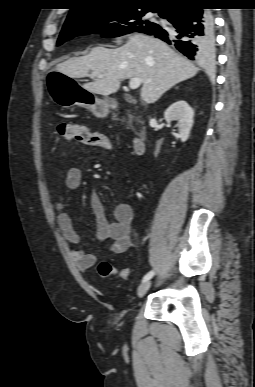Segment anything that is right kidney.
<instances>
[{"mask_svg":"<svg viewBox=\"0 0 255 387\" xmlns=\"http://www.w3.org/2000/svg\"><path fill=\"white\" fill-rule=\"evenodd\" d=\"M164 118L167 123L178 122L176 126L182 142L189 138L194 123V111L186 101L180 100L170 105L164 113Z\"/></svg>","mask_w":255,"mask_h":387,"instance_id":"1","label":"right kidney"}]
</instances>
